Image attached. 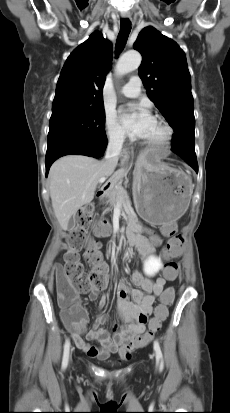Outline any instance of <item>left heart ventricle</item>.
I'll return each mask as SVG.
<instances>
[{
	"instance_id": "b2bd125f",
	"label": "left heart ventricle",
	"mask_w": 230,
	"mask_h": 413,
	"mask_svg": "<svg viewBox=\"0 0 230 413\" xmlns=\"http://www.w3.org/2000/svg\"><path fill=\"white\" fill-rule=\"evenodd\" d=\"M162 135V130L156 121L153 122L147 134L143 137L145 140H156Z\"/></svg>"
}]
</instances>
